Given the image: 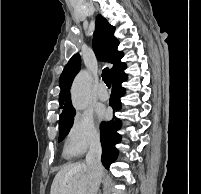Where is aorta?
<instances>
[{
    "label": "aorta",
    "mask_w": 201,
    "mask_h": 194,
    "mask_svg": "<svg viewBox=\"0 0 201 194\" xmlns=\"http://www.w3.org/2000/svg\"><path fill=\"white\" fill-rule=\"evenodd\" d=\"M91 76L86 70L81 71L71 87L72 105L76 110H84L90 101Z\"/></svg>",
    "instance_id": "aorta-1"
}]
</instances>
